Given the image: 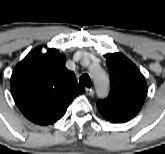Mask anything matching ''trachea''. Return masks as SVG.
<instances>
[{"instance_id": "obj_1", "label": "trachea", "mask_w": 165, "mask_h": 154, "mask_svg": "<svg viewBox=\"0 0 165 154\" xmlns=\"http://www.w3.org/2000/svg\"><path fill=\"white\" fill-rule=\"evenodd\" d=\"M79 84L90 88L91 87L90 76L88 74H83L79 79Z\"/></svg>"}]
</instances>
